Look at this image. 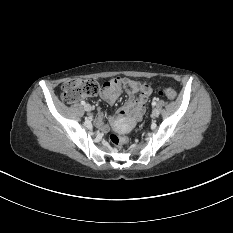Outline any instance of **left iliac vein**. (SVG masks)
<instances>
[{
	"label": "left iliac vein",
	"mask_w": 233,
	"mask_h": 233,
	"mask_svg": "<svg viewBox=\"0 0 233 233\" xmlns=\"http://www.w3.org/2000/svg\"><path fill=\"white\" fill-rule=\"evenodd\" d=\"M159 114H160V111L157 108L152 110V114H151L152 117L156 118L159 116Z\"/></svg>",
	"instance_id": "obj_1"
}]
</instances>
